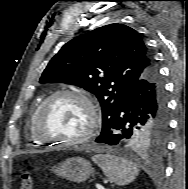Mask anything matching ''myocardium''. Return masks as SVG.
I'll use <instances>...</instances> for the list:
<instances>
[{
  "label": "myocardium",
  "mask_w": 188,
  "mask_h": 189,
  "mask_svg": "<svg viewBox=\"0 0 188 189\" xmlns=\"http://www.w3.org/2000/svg\"><path fill=\"white\" fill-rule=\"evenodd\" d=\"M63 96L75 97L86 104L90 114V120L88 126L81 135L75 138H70V139L47 138L42 134L43 118L46 112L48 111L51 103ZM100 118L101 116L98 107L88 94L78 90L62 89L54 92L41 103L34 119L33 133L37 141L42 144H57L60 146L77 145L91 138L95 134L100 124Z\"/></svg>",
  "instance_id": "f54148a6"
}]
</instances>
